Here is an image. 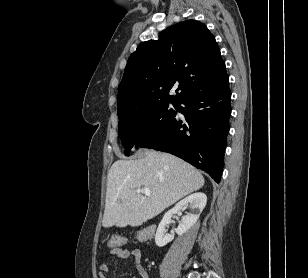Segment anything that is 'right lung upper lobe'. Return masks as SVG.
I'll return each mask as SVG.
<instances>
[{
  "instance_id": "1",
  "label": "right lung upper lobe",
  "mask_w": 308,
  "mask_h": 278,
  "mask_svg": "<svg viewBox=\"0 0 308 278\" xmlns=\"http://www.w3.org/2000/svg\"><path fill=\"white\" fill-rule=\"evenodd\" d=\"M228 77L220 49L208 28L187 20L142 42L128 59L118 88V116L158 103L178 104ZM178 85L180 93L170 96Z\"/></svg>"
}]
</instances>
